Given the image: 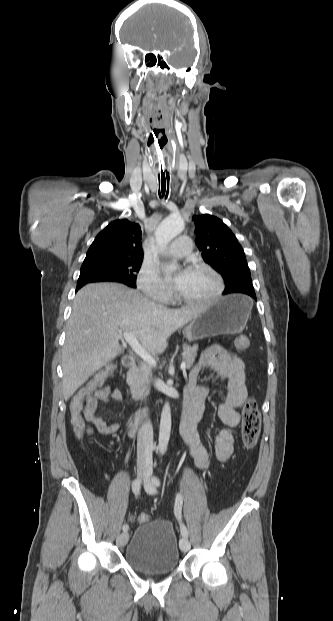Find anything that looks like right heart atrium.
<instances>
[{"label":"right heart atrium","instance_id":"obj_1","mask_svg":"<svg viewBox=\"0 0 333 621\" xmlns=\"http://www.w3.org/2000/svg\"><path fill=\"white\" fill-rule=\"evenodd\" d=\"M137 286L147 297L160 303H167L172 297V288L162 280L156 268L148 264L140 268Z\"/></svg>","mask_w":333,"mask_h":621}]
</instances>
